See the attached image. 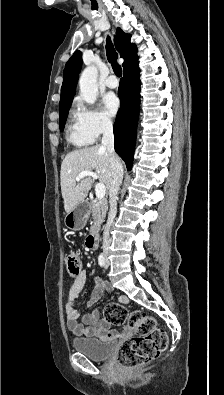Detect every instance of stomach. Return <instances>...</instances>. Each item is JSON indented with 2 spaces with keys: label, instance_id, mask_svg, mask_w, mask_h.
I'll return each mask as SVG.
<instances>
[{
  "label": "stomach",
  "instance_id": "obj_1",
  "mask_svg": "<svg viewBox=\"0 0 224 395\" xmlns=\"http://www.w3.org/2000/svg\"><path fill=\"white\" fill-rule=\"evenodd\" d=\"M89 216V205L86 201H82L66 214L64 219L65 226L71 230H81L85 227Z\"/></svg>",
  "mask_w": 224,
  "mask_h": 395
}]
</instances>
